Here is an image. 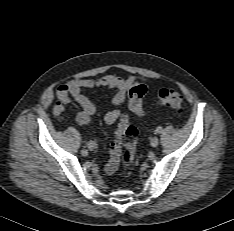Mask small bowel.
<instances>
[{
    "label": "small bowel",
    "instance_id": "obj_1",
    "mask_svg": "<svg viewBox=\"0 0 234 231\" xmlns=\"http://www.w3.org/2000/svg\"><path fill=\"white\" fill-rule=\"evenodd\" d=\"M133 78H123L117 75H106L99 79H74L60 85L57 89V103L54 105L53 113L56 116L62 114L71 99L76 101L82 108L77 114L76 121L79 125H87L90 123L92 116L96 112L97 106L84 93L86 89L109 88L114 90L112 104L114 109L108 111L104 116L107 124L115 123L120 117H126L121 114L119 108L126 99L129 88L133 85ZM127 119V117H126ZM117 166L110 160L105 171L112 174L116 171Z\"/></svg>",
    "mask_w": 234,
    "mask_h": 231
}]
</instances>
